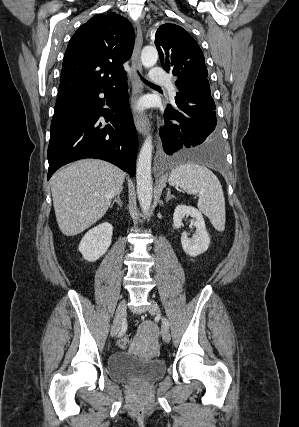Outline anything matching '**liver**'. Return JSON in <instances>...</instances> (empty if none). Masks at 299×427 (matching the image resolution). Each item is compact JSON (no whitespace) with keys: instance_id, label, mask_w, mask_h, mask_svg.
Here are the masks:
<instances>
[{"instance_id":"liver-1","label":"liver","mask_w":299,"mask_h":427,"mask_svg":"<svg viewBox=\"0 0 299 427\" xmlns=\"http://www.w3.org/2000/svg\"><path fill=\"white\" fill-rule=\"evenodd\" d=\"M125 172L108 162L83 159L51 178L56 220L66 236L77 235L100 220L123 189Z\"/></svg>"}]
</instances>
